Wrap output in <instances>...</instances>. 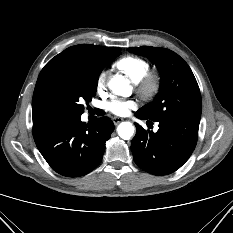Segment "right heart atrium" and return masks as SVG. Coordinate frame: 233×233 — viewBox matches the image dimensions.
<instances>
[{
    "label": "right heart atrium",
    "mask_w": 233,
    "mask_h": 233,
    "mask_svg": "<svg viewBox=\"0 0 233 233\" xmlns=\"http://www.w3.org/2000/svg\"><path fill=\"white\" fill-rule=\"evenodd\" d=\"M106 77H107L106 71H101L97 75L96 82H95V88H96V92L98 94H103L105 92V89H106Z\"/></svg>",
    "instance_id": "1"
}]
</instances>
